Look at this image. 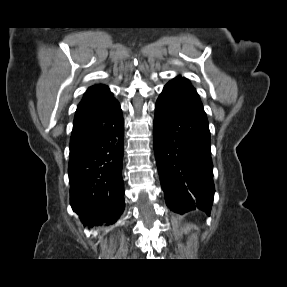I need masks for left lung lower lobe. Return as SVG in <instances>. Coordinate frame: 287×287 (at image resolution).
<instances>
[{"label": "left lung lower lobe", "mask_w": 287, "mask_h": 287, "mask_svg": "<svg viewBox=\"0 0 287 287\" xmlns=\"http://www.w3.org/2000/svg\"><path fill=\"white\" fill-rule=\"evenodd\" d=\"M154 153L167 206L183 214H210L214 196L210 132L206 114L173 85L155 105Z\"/></svg>", "instance_id": "left-lung-lower-lobe-1"}]
</instances>
